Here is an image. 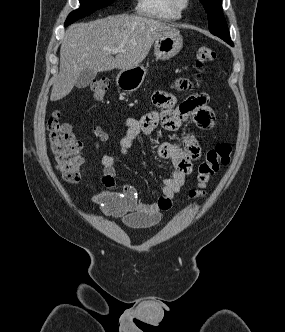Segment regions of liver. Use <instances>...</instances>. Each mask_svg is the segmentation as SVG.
Returning <instances> with one entry per match:
<instances>
[{"instance_id": "1", "label": "liver", "mask_w": 285, "mask_h": 332, "mask_svg": "<svg viewBox=\"0 0 285 332\" xmlns=\"http://www.w3.org/2000/svg\"><path fill=\"white\" fill-rule=\"evenodd\" d=\"M171 29L174 28L161 21L129 15L108 16L71 25L62 41L60 71L54 81L50 100L66 97L80 73L86 69L97 73L138 66L156 39ZM118 47L123 51L115 57L105 50Z\"/></svg>"}]
</instances>
